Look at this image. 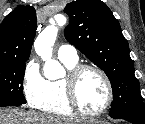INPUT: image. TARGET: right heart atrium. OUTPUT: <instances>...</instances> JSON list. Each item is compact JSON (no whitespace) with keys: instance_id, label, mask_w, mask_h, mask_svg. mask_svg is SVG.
<instances>
[{"instance_id":"d8ad5b80","label":"right heart atrium","mask_w":145,"mask_h":124,"mask_svg":"<svg viewBox=\"0 0 145 124\" xmlns=\"http://www.w3.org/2000/svg\"><path fill=\"white\" fill-rule=\"evenodd\" d=\"M45 86L39 64L35 60H31L26 64L23 76V93L29 104L37 106L42 98V93Z\"/></svg>"}]
</instances>
